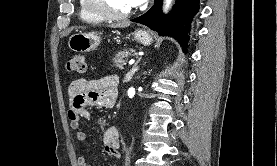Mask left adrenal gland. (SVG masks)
I'll list each match as a JSON object with an SVG mask.
<instances>
[{
    "instance_id": "a2214340",
    "label": "left adrenal gland",
    "mask_w": 277,
    "mask_h": 166,
    "mask_svg": "<svg viewBox=\"0 0 277 166\" xmlns=\"http://www.w3.org/2000/svg\"><path fill=\"white\" fill-rule=\"evenodd\" d=\"M142 58L140 57L136 62L135 64L132 66V68L130 69V71L127 72V74L125 75L124 77V82H129L133 75L135 74V72H137L139 70V66H138V63L140 62Z\"/></svg>"
}]
</instances>
